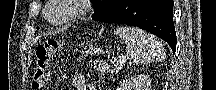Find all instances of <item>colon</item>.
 Instances as JSON below:
<instances>
[{"instance_id": "5ec220e1", "label": "colon", "mask_w": 216, "mask_h": 90, "mask_svg": "<svg viewBox=\"0 0 216 90\" xmlns=\"http://www.w3.org/2000/svg\"><path fill=\"white\" fill-rule=\"evenodd\" d=\"M61 45L60 41L49 40L36 48V70L32 80L33 89L44 90L49 84L53 59Z\"/></svg>"}]
</instances>
